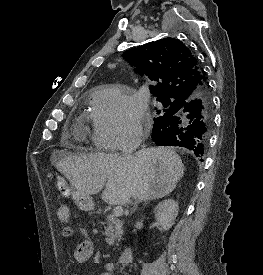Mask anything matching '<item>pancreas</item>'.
I'll list each match as a JSON object with an SVG mask.
<instances>
[{
  "label": "pancreas",
  "mask_w": 263,
  "mask_h": 275,
  "mask_svg": "<svg viewBox=\"0 0 263 275\" xmlns=\"http://www.w3.org/2000/svg\"><path fill=\"white\" fill-rule=\"evenodd\" d=\"M106 226L104 227L105 235L107 236L106 242L112 245L116 239H119L123 233L122 222L113 214L106 218Z\"/></svg>",
  "instance_id": "pancreas-1"
}]
</instances>
